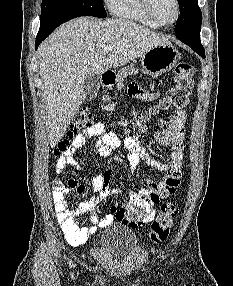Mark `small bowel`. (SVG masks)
Returning a JSON list of instances; mask_svg holds the SVG:
<instances>
[{
	"mask_svg": "<svg viewBox=\"0 0 233 286\" xmlns=\"http://www.w3.org/2000/svg\"><path fill=\"white\" fill-rule=\"evenodd\" d=\"M130 93L133 97L152 101L158 97L157 92L144 90L137 85L130 87ZM187 118V112L184 109L179 110L169 120L167 125L155 132V140L164 146L170 147L169 162L165 163L152 157L140 144L137 137H128L124 140L125 147L129 150L128 164L132 171H135L141 162L146 163L158 170L165 171V176L159 180H147V188H142L130 195L128 203L121 207L113 206L110 213L100 217L98 202L82 201L75 209H69L66 196L69 190L64 185L61 172L67 166L75 167L81 170L75 154L90 139L96 138V148L101 157H108L113 150L121 145V141L111 132L106 130L104 123L98 122L84 129L72 141L70 147L56 162V174L52 179V200L57 219L61 224L62 231L67 241L79 246L84 244L89 237L99 228H103L118 220L132 227H140L151 221L154 217V207L162 199L173 195L179 186L181 179V168L184 154V125ZM111 174L109 172L103 175L91 173L90 178L94 191L98 192L102 198L109 195L120 194V189L110 188ZM76 194L83 193L84 189H72ZM138 204L144 212V218L138 225L133 224L128 218V212ZM82 215L89 216V227H83L78 218Z\"/></svg>",
	"mask_w": 233,
	"mask_h": 286,
	"instance_id": "small-bowel-1",
	"label": "small bowel"
}]
</instances>
